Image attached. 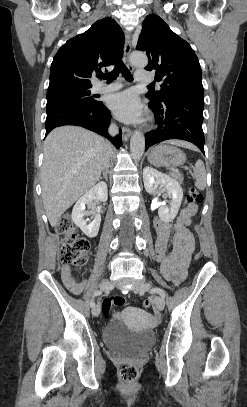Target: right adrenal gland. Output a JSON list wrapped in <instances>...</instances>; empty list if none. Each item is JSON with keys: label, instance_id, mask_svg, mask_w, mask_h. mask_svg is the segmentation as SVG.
Returning <instances> with one entry per match:
<instances>
[{"label": "right adrenal gland", "instance_id": "2a0ac1e0", "mask_svg": "<svg viewBox=\"0 0 247 407\" xmlns=\"http://www.w3.org/2000/svg\"><path fill=\"white\" fill-rule=\"evenodd\" d=\"M105 179L106 181H108V171H105L104 173H103V177H101V179Z\"/></svg>", "mask_w": 247, "mask_h": 407}]
</instances>
